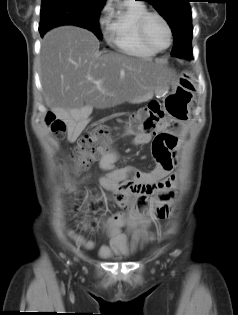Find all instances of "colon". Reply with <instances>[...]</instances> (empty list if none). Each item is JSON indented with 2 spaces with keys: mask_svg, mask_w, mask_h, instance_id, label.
Returning a JSON list of instances; mask_svg holds the SVG:
<instances>
[{
  "mask_svg": "<svg viewBox=\"0 0 238 315\" xmlns=\"http://www.w3.org/2000/svg\"><path fill=\"white\" fill-rule=\"evenodd\" d=\"M164 122L163 111L158 101H152L147 107L132 113L126 121V134L137 136L153 133ZM46 124L56 137L66 132V124L53 114L46 117ZM111 141L110 129L105 125H96L91 132L82 136L72 155L80 167H87L95 158L105 151Z\"/></svg>",
  "mask_w": 238,
  "mask_h": 315,
  "instance_id": "1",
  "label": "colon"
}]
</instances>
